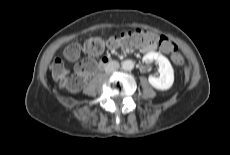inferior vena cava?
I'll use <instances>...</instances> for the list:
<instances>
[{
  "mask_svg": "<svg viewBox=\"0 0 230 155\" xmlns=\"http://www.w3.org/2000/svg\"><path fill=\"white\" fill-rule=\"evenodd\" d=\"M120 65L117 61H111L105 66V71L107 73L115 72L119 69Z\"/></svg>",
  "mask_w": 230,
  "mask_h": 155,
  "instance_id": "inferior-vena-cava-1",
  "label": "inferior vena cava"
}]
</instances>
